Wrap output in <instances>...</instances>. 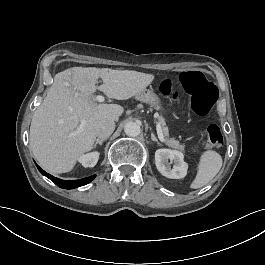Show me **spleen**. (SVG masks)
Instances as JSON below:
<instances>
[{"mask_svg": "<svg viewBox=\"0 0 265 265\" xmlns=\"http://www.w3.org/2000/svg\"><path fill=\"white\" fill-rule=\"evenodd\" d=\"M222 167V157L215 151H205L200 158L198 172L191 188L197 189L205 186L220 171Z\"/></svg>", "mask_w": 265, "mask_h": 265, "instance_id": "spleen-1", "label": "spleen"}]
</instances>
